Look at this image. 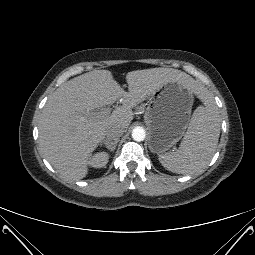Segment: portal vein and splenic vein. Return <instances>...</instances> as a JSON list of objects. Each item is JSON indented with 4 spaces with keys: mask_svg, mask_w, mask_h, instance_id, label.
Listing matches in <instances>:
<instances>
[{
    "mask_svg": "<svg viewBox=\"0 0 255 255\" xmlns=\"http://www.w3.org/2000/svg\"><path fill=\"white\" fill-rule=\"evenodd\" d=\"M103 114H109L110 113V111L109 110H107V111H104V112H102Z\"/></svg>",
    "mask_w": 255,
    "mask_h": 255,
    "instance_id": "portal-vein-and-splenic-vein-1",
    "label": "portal vein and splenic vein"
}]
</instances>
